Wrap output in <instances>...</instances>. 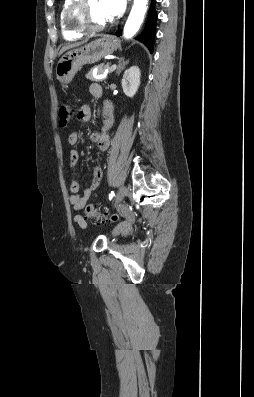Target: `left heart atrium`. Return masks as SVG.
<instances>
[{"label":"left heart atrium","instance_id":"left-heart-atrium-1","mask_svg":"<svg viewBox=\"0 0 254 397\" xmlns=\"http://www.w3.org/2000/svg\"><path fill=\"white\" fill-rule=\"evenodd\" d=\"M101 7L109 19L120 16L125 7L126 0H100Z\"/></svg>","mask_w":254,"mask_h":397}]
</instances>
